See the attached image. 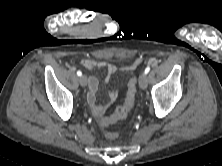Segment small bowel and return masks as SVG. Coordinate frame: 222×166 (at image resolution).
<instances>
[{
    "mask_svg": "<svg viewBox=\"0 0 222 166\" xmlns=\"http://www.w3.org/2000/svg\"><path fill=\"white\" fill-rule=\"evenodd\" d=\"M142 59H136L132 64L122 67L120 70L126 74H131L141 63ZM81 65L90 70H96L105 68L107 70L106 81H109L112 75L117 71V67L114 64L107 63L105 61H95L92 59L81 60ZM99 81L95 76L88 78V93L87 102L93 113L97 118H101L108 107L114 103L118 98V91L111 89L108 94V101L106 103H98L96 93L98 91Z\"/></svg>",
    "mask_w": 222,
    "mask_h": 166,
    "instance_id": "1",
    "label": "small bowel"
}]
</instances>
